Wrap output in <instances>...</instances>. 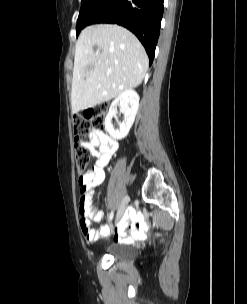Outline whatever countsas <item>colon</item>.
<instances>
[{"instance_id":"1","label":"colon","mask_w":247,"mask_h":304,"mask_svg":"<svg viewBox=\"0 0 247 304\" xmlns=\"http://www.w3.org/2000/svg\"><path fill=\"white\" fill-rule=\"evenodd\" d=\"M107 104L93 106L73 117L75 135L74 158L77 170L82 173L90 159V152L85 146L84 139L88 137L92 128H102L107 114ZM80 204L82 212L88 207L85 203V189L80 187ZM165 238V235H162Z\"/></svg>"}]
</instances>
